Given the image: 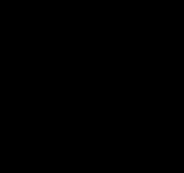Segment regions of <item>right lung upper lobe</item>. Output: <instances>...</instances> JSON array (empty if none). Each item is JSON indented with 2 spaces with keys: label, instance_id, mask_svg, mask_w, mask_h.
I'll use <instances>...</instances> for the list:
<instances>
[{
  "label": "right lung upper lobe",
  "instance_id": "cb5924a9",
  "mask_svg": "<svg viewBox=\"0 0 184 173\" xmlns=\"http://www.w3.org/2000/svg\"><path fill=\"white\" fill-rule=\"evenodd\" d=\"M76 52L67 46L40 56L21 81L12 103L16 129L44 124L68 115V73Z\"/></svg>",
  "mask_w": 184,
  "mask_h": 173
}]
</instances>
